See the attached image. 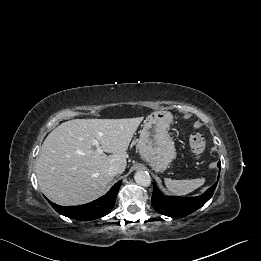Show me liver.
<instances>
[{
	"label": "liver",
	"mask_w": 261,
	"mask_h": 261,
	"mask_svg": "<svg viewBox=\"0 0 261 261\" xmlns=\"http://www.w3.org/2000/svg\"><path fill=\"white\" fill-rule=\"evenodd\" d=\"M142 120L74 119L60 124L48 134L37 158L40 191L62 206L80 205L102 196L114 179L108 168L118 165L124 172L126 151ZM92 139L111 155L99 154Z\"/></svg>",
	"instance_id": "1"
}]
</instances>
